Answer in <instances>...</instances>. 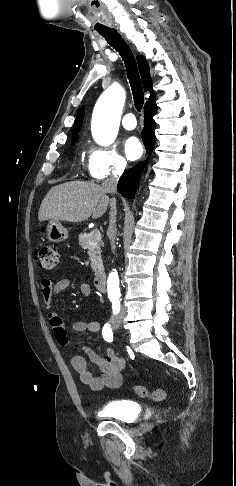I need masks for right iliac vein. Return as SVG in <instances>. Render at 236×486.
<instances>
[{
	"label": "right iliac vein",
	"instance_id": "1",
	"mask_svg": "<svg viewBox=\"0 0 236 486\" xmlns=\"http://www.w3.org/2000/svg\"><path fill=\"white\" fill-rule=\"evenodd\" d=\"M120 321L119 320H113V326L114 327H119Z\"/></svg>",
	"mask_w": 236,
	"mask_h": 486
}]
</instances>
